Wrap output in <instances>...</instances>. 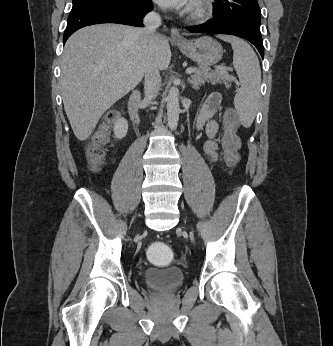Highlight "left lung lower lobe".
Returning <instances> with one entry per match:
<instances>
[{"mask_svg":"<svg viewBox=\"0 0 333 346\" xmlns=\"http://www.w3.org/2000/svg\"><path fill=\"white\" fill-rule=\"evenodd\" d=\"M188 30L192 33L228 34L241 37L251 42L264 58V47L260 29L239 20L211 19L199 26H191Z\"/></svg>","mask_w":333,"mask_h":346,"instance_id":"obj_1","label":"left lung lower lobe"}]
</instances>
